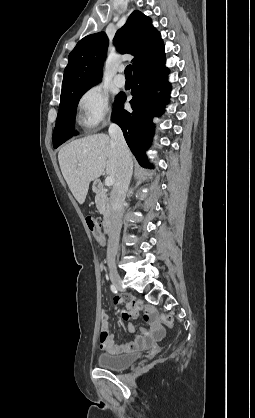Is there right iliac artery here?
<instances>
[{
  "label": "right iliac artery",
  "mask_w": 255,
  "mask_h": 418,
  "mask_svg": "<svg viewBox=\"0 0 255 418\" xmlns=\"http://www.w3.org/2000/svg\"><path fill=\"white\" fill-rule=\"evenodd\" d=\"M110 289H111V291L113 292V293H115V294H117V288H116V286H114V285H111L110 286Z\"/></svg>",
  "instance_id": "right-iliac-artery-1"
}]
</instances>
